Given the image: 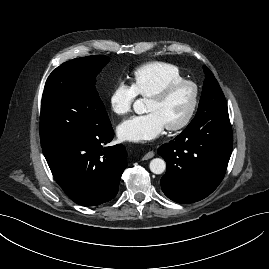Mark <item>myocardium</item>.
<instances>
[{
  "instance_id": "1",
  "label": "myocardium",
  "mask_w": 269,
  "mask_h": 269,
  "mask_svg": "<svg viewBox=\"0 0 269 269\" xmlns=\"http://www.w3.org/2000/svg\"><path fill=\"white\" fill-rule=\"evenodd\" d=\"M183 85H188L193 89L192 103L190 105V108L187 114L181 121H179L178 123L166 126V128L170 131H179V130L184 129L185 127L189 125V123L193 119L195 112L197 110V107H198V103H199V87L197 83L189 79H180V80L172 81V82L167 83L161 89H159L158 91H156L155 93L149 96V99L161 101V100L166 99L176 88Z\"/></svg>"
}]
</instances>
